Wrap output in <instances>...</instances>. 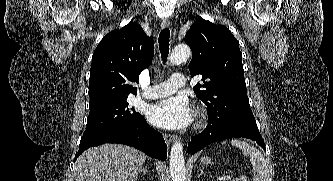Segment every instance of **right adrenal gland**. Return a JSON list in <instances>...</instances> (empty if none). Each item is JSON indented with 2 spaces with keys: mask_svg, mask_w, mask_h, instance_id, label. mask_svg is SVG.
<instances>
[{
  "mask_svg": "<svg viewBox=\"0 0 333 181\" xmlns=\"http://www.w3.org/2000/svg\"><path fill=\"white\" fill-rule=\"evenodd\" d=\"M140 172H141V176H143L144 177V175L146 174V173H148V172H150L147 168H141V170H140Z\"/></svg>",
  "mask_w": 333,
  "mask_h": 181,
  "instance_id": "1",
  "label": "right adrenal gland"
}]
</instances>
